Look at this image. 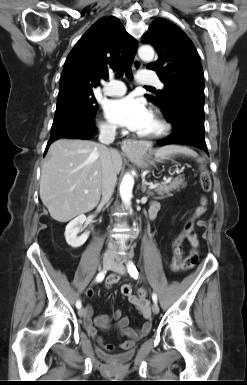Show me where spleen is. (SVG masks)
Here are the masks:
<instances>
[{"mask_svg":"<svg viewBox=\"0 0 247 385\" xmlns=\"http://www.w3.org/2000/svg\"><path fill=\"white\" fill-rule=\"evenodd\" d=\"M177 154L191 156L194 158L198 156V154L194 150L190 149L187 146L171 144L159 148L155 153V158L158 160H163Z\"/></svg>","mask_w":247,"mask_h":385,"instance_id":"spleen-1","label":"spleen"}]
</instances>
